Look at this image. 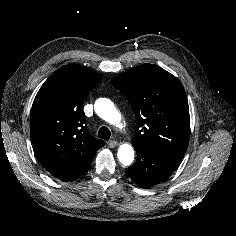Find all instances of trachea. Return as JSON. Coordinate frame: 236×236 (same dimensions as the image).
Segmentation results:
<instances>
[{"label": "trachea", "instance_id": "1", "mask_svg": "<svg viewBox=\"0 0 236 236\" xmlns=\"http://www.w3.org/2000/svg\"><path fill=\"white\" fill-rule=\"evenodd\" d=\"M98 137L104 140H109L111 137V132L107 127L103 126L98 131Z\"/></svg>", "mask_w": 236, "mask_h": 236}]
</instances>
